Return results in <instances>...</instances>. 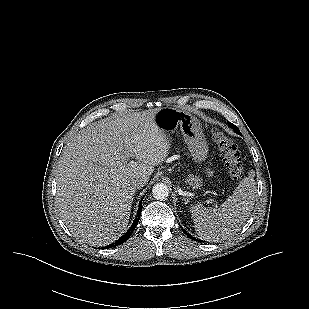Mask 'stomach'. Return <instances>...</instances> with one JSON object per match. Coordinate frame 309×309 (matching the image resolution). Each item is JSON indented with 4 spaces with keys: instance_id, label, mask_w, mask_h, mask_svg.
<instances>
[{
    "instance_id": "0dacf381",
    "label": "stomach",
    "mask_w": 309,
    "mask_h": 309,
    "mask_svg": "<svg viewBox=\"0 0 309 309\" xmlns=\"http://www.w3.org/2000/svg\"><path fill=\"white\" fill-rule=\"evenodd\" d=\"M154 122L166 135L179 129L194 162L201 164L205 161L208 153L207 142L200 123L193 115L183 110L165 107L156 111ZM185 182L193 189L202 186V179L193 174H190Z\"/></svg>"
}]
</instances>
